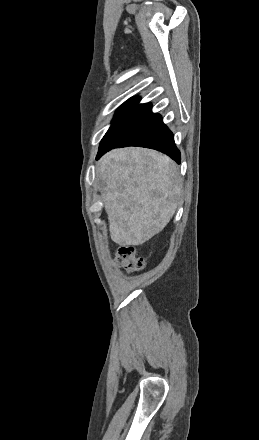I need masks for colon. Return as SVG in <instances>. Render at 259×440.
<instances>
[{
  "instance_id": "obj_1",
  "label": "colon",
  "mask_w": 259,
  "mask_h": 440,
  "mask_svg": "<svg viewBox=\"0 0 259 440\" xmlns=\"http://www.w3.org/2000/svg\"><path fill=\"white\" fill-rule=\"evenodd\" d=\"M115 260L128 272L139 271L144 267V259L135 254L134 247L128 245L121 246L116 250Z\"/></svg>"
}]
</instances>
